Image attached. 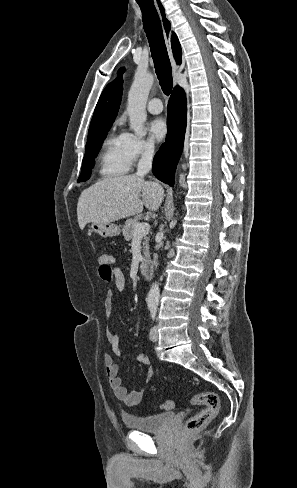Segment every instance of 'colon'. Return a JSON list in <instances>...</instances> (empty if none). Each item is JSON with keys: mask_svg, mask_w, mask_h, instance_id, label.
Here are the masks:
<instances>
[{"mask_svg": "<svg viewBox=\"0 0 297 488\" xmlns=\"http://www.w3.org/2000/svg\"><path fill=\"white\" fill-rule=\"evenodd\" d=\"M110 254H103L99 257V273L106 281L110 279ZM189 402L193 405H201L203 408L194 416L189 418L185 425V432L188 434L202 430L218 414L220 400L215 392L208 391L197 394L190 398ZM175 407L173 401H166L161 405L163 410H172Z\"/></svg>", "mask_w": 297, "mask_h": 488, "instance_id": "5ec220e1", "label": "colon"}]
</instances>
